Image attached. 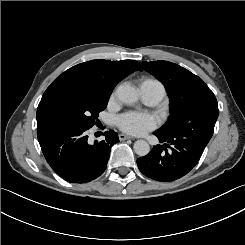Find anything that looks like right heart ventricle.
<instances>
[{
  "label": "right heart ventricle",
  "mask_w": 245,
  "mask_h": 245,
  "mask_svg": "<svg viewBox=\"0 0 245 245\" xmlns=\"http://www.w3.org/2000/svg\"><path fill=\"white\" fill-rule=\"evenodd\" d=\"M158 84L160 85V87L163 89V86L158 82ZM163 91H164V89H163Z\"/></svg>",
  "instance_id": "1"
}]
</instances>
